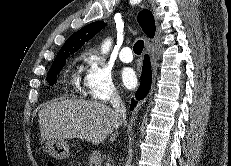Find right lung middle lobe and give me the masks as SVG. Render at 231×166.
Returning <instances> with one entry per match:
<instances>
[{
	"label": "right lung middle lobe",
	"instance_id": "dd1d6c3e",
	"mask_svg": "<svg viewBox=\"0 0 231 166\" xmlns=\"http://www.w3.org/2000/svg\"><path fill=\"white\" fill-rule=\"evenodd\" d=\"M68 57H69V54H64V55L57 56L55 58L53 65L51 66V68L47 74V82L50 85L55 84L57 74L60 72V70L64 66V64L66 62V58H68Z\"/></svg>",
	"mask_w": 231,
	"mask_h": 166
}]
</instances>
